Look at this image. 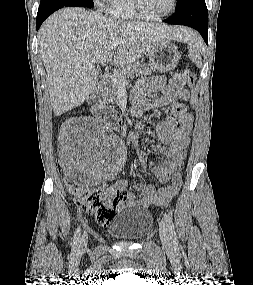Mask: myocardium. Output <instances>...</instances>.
Returning <instances> with one entry per match:
<instances>
[{"label":"myocardium","mask_w":253,"mask_h":285,"mask_svg":"<svg viewBox=\"0 0 253 285\" xmlns=\"http://www.w3.org/2000/svg\"><path fill=\"white\" fill-rule=\"evenodd\" d=\"M132 3H133V7L139 18L144 19V20L158 21L174 13V11L177 8L178 0H172L171 8L166 13L158 15V16H152V15L146 14L142 8L141 0H132Z\"/></svg>","instance_id":"1"}]
</instances>
